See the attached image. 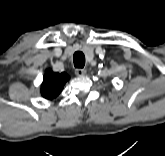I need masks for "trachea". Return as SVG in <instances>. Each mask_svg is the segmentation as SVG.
<instances>
[{
	"label": "trachea",
	"mask_w": 165,
	"mask_h": 156,
	"mask_svg": "<svg viewBox=\"0 0 165 156\" xmlns=\"http://www.w3.org/2000/svg\"><path fill=\"white\" fill-rule=\"evenodd\" d=\"M73 61L76 68H83L85 65V55L82 52L77 51L73 56Z\"/></svg>",
	"instance_id": "obj_1"
}]
</instances>
